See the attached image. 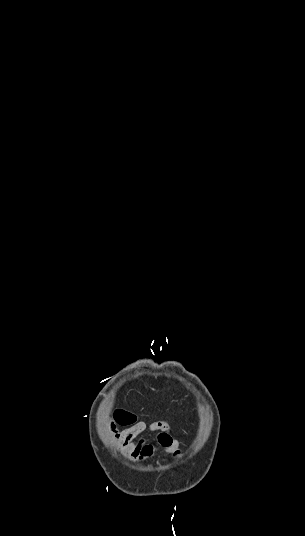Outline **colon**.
Wrapping results in <instances>:
<instances>
[{"label":"colon","mask_w":305,"mask_h":536,"mask_svg":"<svg viewBox=\"0 0 305 536\" xmlns=\"http://www.w3.org/2000/svg\"><path fill=\"white\" fill-rule=\"evenodd\" d=\"M116 424H120L121 427H128L137 422V411H116L114 414Z\"/></svg>","instance_id":"colon-1"}]
</instances>
